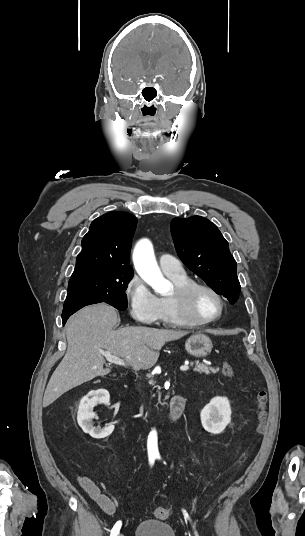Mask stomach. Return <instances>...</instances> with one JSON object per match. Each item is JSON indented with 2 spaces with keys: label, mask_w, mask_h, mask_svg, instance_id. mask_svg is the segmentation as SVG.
<instances>
[{
  "label": "stomach",
  "mask_w": 305,
  "mask_h": 536,
  "mask_svg": "<svg viewBox=\"0 0 305 536\" xmlns=\"http://www.w3.org/2000/svg\"><path fill=\"white\" fill-rule=\"evenodd\" d=\"M212 342L205 334H195L186 340L185 350L195 358H205L212 350Z\"/></svg>",
  "instance_id": "1"
}]
</instances>
